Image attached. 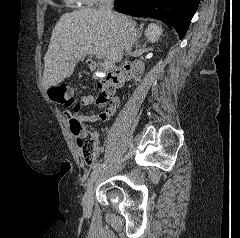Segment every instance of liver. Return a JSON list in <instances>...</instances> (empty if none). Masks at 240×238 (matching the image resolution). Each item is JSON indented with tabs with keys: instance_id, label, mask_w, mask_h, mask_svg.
Instances as JSON below:
<instances>
[{
	"instance_id": "1",
	"label": "liver",
	"mask_w": 240,
	"mask_h": 238,
	"mask_svg": "<svg viewBox=\"0 0 240 238\" xmlns=\"http://www.w3.org/2000/svg\"><path fill=\"white\" fill-rule=\"evenodd\" d=\"M116 15L117 19H110L94 8H85L61 16L44 57L45 90L73 74L75 61L87 55V46H94L113 65L122 60L126 33L135 29L136 23L125 15Z\"/></svg>"
}]
</instances>
